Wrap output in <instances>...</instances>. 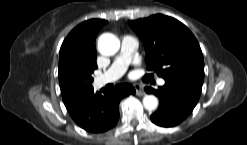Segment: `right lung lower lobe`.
<instances>
[{
	"label": "right lung lower lobe",
	"mask_w": 247,
	"mask_h": 145,
	"mask_svg": "<svg viewBox=\"0 0 247 145\" xmlns=\"http://www.w3.org/2000/svg\"><path fill=\"white\" fill-rule=\"evenodd\" d=\"M134 93L135 89L130 84L116 85L104 95L94 93L92 88L64 104L77 125L86 131L99 133L117 124L121 99Z\"/></svg>",
	"instance_id": "obj_1"
}]
</instances>
